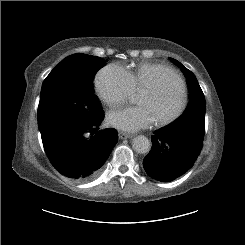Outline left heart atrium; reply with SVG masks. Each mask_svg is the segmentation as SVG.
Returning <instances> with one entry per match:
<instances>
[{"mask_svg":"<svg viewBox=\"0 0 245 245\" xmlns=\"http://www.w3.org/2000/svg\"><path fill=\"white\" fill-rule=\"evenodd\" d=\"M154 122L151 111L144 106L114 109L107 114V124L124 132L149 128Z\"/></svg>","mask_w":245,"mask_h":245,"instance_id":"39dd6f15","label":"left heart atrium"}]
</instances>
